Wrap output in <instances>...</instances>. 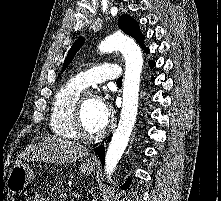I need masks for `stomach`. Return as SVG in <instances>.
<instances>
[{
    "instance_id": "stomach-1",
    "label": "stomach",
    "mask_w": 221,
    "mask_h": 201,
    "mask_svg": "<svg viewBox=\"0 0 221 201\" xmlns=\"http://www.w3.org/2000/svg\"><path fill=\"white\" fill-rule=\"evenodd\" d=\"M80 171L84 174H91L95 171V165L88 160L83 161ZM35 178L33 167L29 163L17 162L9 172L7 188L11 193H20Z\"/></svg>"
}]
</instances>
